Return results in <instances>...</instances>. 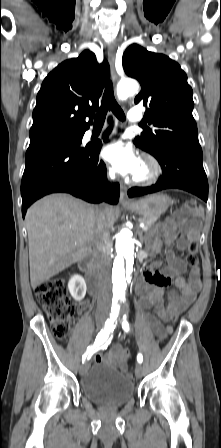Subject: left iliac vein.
Instances as JSON below:
<instances>
[{
	"label": "left iliac vein",
	"mask_w": 221,
	"mask_h": 448,
	"mask_svg": "<svg viewBox=\"0 0 221 448\" xmlns=\"http://www.w3.org/2000/svg\"><path fill=\"white\" fill-rule=\"evenodd\" d=\"M135 375L137 378H141L143 375V367L141 364H137L135 368Z\"/></svg>",
	"instance_id": "obj_1"
}]
</instances>
